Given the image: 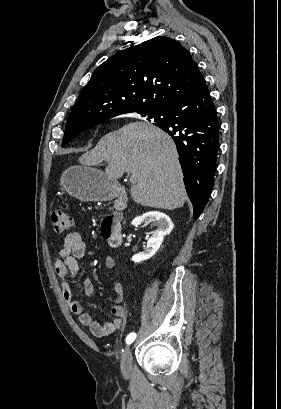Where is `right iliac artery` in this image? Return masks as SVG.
I'll return each mask as SVG.
<instances>
[{"mask_svg": "<svg viewBox=\"0 0 281 409\" xmlns=\"http://www.w3.org/2000/svg\"><path fill=\"white\" fill-rule=\"evenodd\" d=\"M136 338V334L135 333H130L127 338H126V343L130 344L132 343Z\"/></svg>", "mask_w": 281, "mask_h": 409, "instance_id": "right-iliac-artery-1", "label": "right iliac artery"}]
</instances>
